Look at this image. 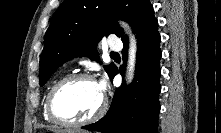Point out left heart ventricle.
<instances>
[{"label": "left heart ventricle", "instance_id": "obj_1", "mask_svg": "<svg viewBox=\"0 0 221 133\" xmlns=\"http://www.w3.org/2000/svg\"><path fill=\"white\" fill-rule=\"evenodd\" d=\"M102 96L95 82L74 81L56 93L53 108L57 116L63 120H82L97 110Z\"/></svg>", "mask_w": 221, "mask_h": 133}]
</instances>
